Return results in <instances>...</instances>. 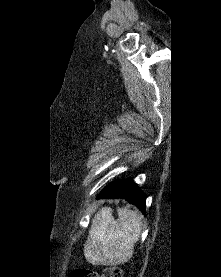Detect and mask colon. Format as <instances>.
I'll list each match as a JSON object with an SVG mask.
<instances>
[{"mask_svg":"<svg viewBox=\"0 0 221 277\" xmlns=\"http://www.w3.org/2000/svg\"><path fill=\"white\" fill-rule=\"evenodd\" d=\"M69 277H123V272L118 266L106 268L101 273L89 268L79 267L74 269Z\"/></svg>","mask_w":221,"mask_h":277,"instance_id":"obj_1","label":"colon"}]
</instances>
